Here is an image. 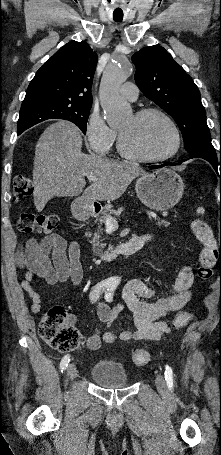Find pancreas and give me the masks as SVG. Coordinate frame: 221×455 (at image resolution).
Instances as JSON below:
<instances>
[{
	"label": "pancreas",
	"mask_w": 221,
	"mask_h": 455,
	"mask_svg": "<svg viewBox=\"0 0 221 455\" xmlns=\"http://www.w3.org/2000/svg\"><path fill=\"white\" fill-rule=\"evenodd\" d=\"M119 214L118 210H113L110 208H106L100 216L97 217L98 220V228L99 232L94 234L91 243L93 246V253L97 255H101L103 253V250L105 248V244L102 243L103 240H101V233H102V226L103 224L106 225V218L116 216ZM156 225L158 226H168L169 222L166 220H155Z\"/></svg>",
	"instance_id": "pancreas-1"
}]
</instances>
